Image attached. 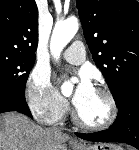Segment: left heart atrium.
<instances>
[{
  "label": "left heart atrium",
  "instance_id": "left-heart-atrium-1",
  "mask_svg": "<svg viewBox=\"0 0 139 150\" xmlns=\"http://www.w3.org/2000/svg\"><path fill=\"white\" fill-rule=\"evenodd\" d=\"M80 83L75 91V95L73 97L74 103L83 95L91 92L94 88L92 86V83L90 81L89 76L86 73L80 74Z\"/></svg>",
  "mask_w": 139,
  "mask_h": 150
}]
</instances>
